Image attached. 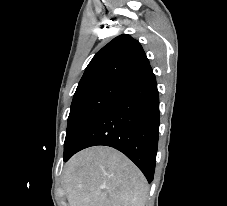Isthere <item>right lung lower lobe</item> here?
<instances>
[{"mask_svg":"<svg viewBox=\"0 0 227 206\" xmlns=\"http://www.w3.org/2000/svg\"><path fill=\"white\" fill-rule=\"evenodd\" d=\"M159 135V94L153 72L129 82L127 89L110 103L64 157L95 145L124 153L153 180Z\"/></svg>","mask_w":227,"mask_h":206,"instance_id":"98d812e1","label":"right lung lower lobe"}]
</instances>
